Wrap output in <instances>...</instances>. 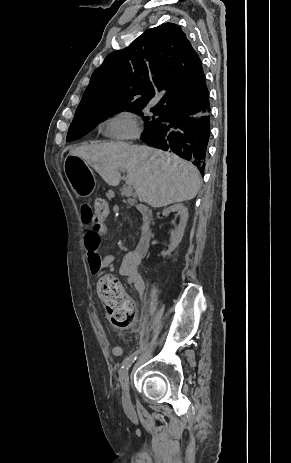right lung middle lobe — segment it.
I'll return each mask as SVG.
<instances>
[{
  "label": "right lung middle lobe",
  "mask_w": 291,
  "mask_h": 463,
  "mask_svg": "<svg viewBox=\"0 0 291 463\" xmlns=\"http://www.w3.org/2000/svg\"><path fill=\"white\" fill-rule=\"evenodd\" d=\"M144 106L135 101H120L97 104L87 109H78L69 127L66 140L72 141L80 138L112 114L121 111H131L141 114ZM152 111L154 115L144 117V133L158 126L162 121L163 112L156 109H152Z\"/></svg>",
  "instance_id": "1"
}]
</instances>
